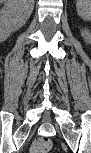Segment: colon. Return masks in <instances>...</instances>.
Segmentation results:
<instances>
[{"instance_id": "1", "label": "colon", "mask_w": 91, "mask_h": 153, "mask_svg": "<svg viewBox=\"0 0 91 153\" xmlns=\"http://www.w3.org/2000/svg\"><path fill=\"white\" fill-rule=\"evenodd\" d=\"M52 148V141L50 138L42 137L36 139L30 148L31 153H48Z\"/></svg>"}]
</instances>
